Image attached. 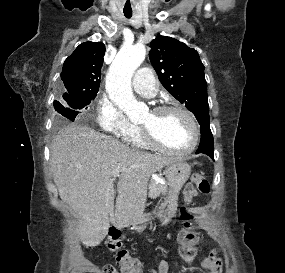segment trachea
Instances as JSON below:
<instances>
[{"label": "trachea", "instance_id": "obj_1", "mask_svg": "<svg viewBox=\"0 0 285 273\" xmlns=\"http://www.w3.org/2000/svg\"><path fill=\"white\" fill-rule=\"evenodd\" d=\"M125 17L131 18L132 17V12H124Z\"/></svg>", "mask_w": 285, "mask_h": 273}]
</instances>
